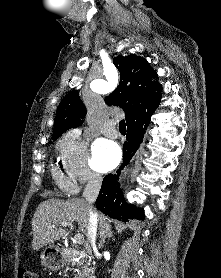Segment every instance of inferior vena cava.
I'll return each instance as SVG.
<instances>
[{"label": "inferior vena cava", "instance_id": "602c4592", "mask_svg": "<svg viewBox=\"0 0 221 278\" xmlns=\"http://www.w3.org/2000/svg\"><path fill=\"white\" fill-rule=\"evenodd\" d=\"M102 184V177L96 172H91L89 174L88 183L84 189L83 197L89 203V222L87 226V236L93 247H95L97 225H98V216L95 210L93 209V203L96 201V198L99 194Z\"/></svg>", "mask_w": 221, "mask_h": 278}]
</instances>
